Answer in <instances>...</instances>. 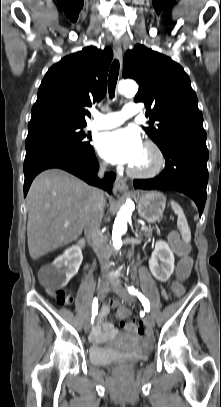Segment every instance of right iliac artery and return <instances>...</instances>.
I'll return each instance as SVG.
<instances>
[{"mask_svg": "<svg viewBox=\"0 0 221 407\" xmlns=\"http://www.w3.org/2000/svg\"><path fill=\"white\" fill-rule=\"evenodd\" d=\"M98 314V300L95 297L92 304L91 323L93 324L96 315Z\"/></svg>", "mask_w": 221, "mask_h": 407, "instance_id": "1", "label": "right iliac artery"}]
</instances>
